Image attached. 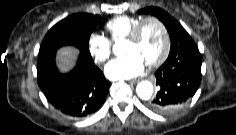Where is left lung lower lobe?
I'll list each match as a JSON object with an SVG mask.
<instances>
[{
    "label": "left lung lower lobe",
    "instance_id": "0a47b994",
    "mask_svg": "<svg viewBox=\"0 0 236 135\" xmlns=\"http://www.w3.org/2000/svg\"><path fill=\"white\" fill-rule=\"evenodd\" d=\"M201 64L197 45L168 57L155 73L159 91L149 104L151 110L169 114L186 104L200 85Z\"/></svg>",
    "mask_w": 236,
    "mask_h": 135
}]
</instances>
